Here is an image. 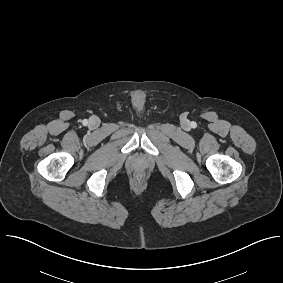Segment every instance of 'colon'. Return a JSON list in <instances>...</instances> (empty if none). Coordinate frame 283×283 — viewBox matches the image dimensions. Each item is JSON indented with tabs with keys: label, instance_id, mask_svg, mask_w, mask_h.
Listing matches in <instances>:
<instances>
[{
	"label": "colon",
	"instance_id": "colon-1",
	"mask_svg": "<svg viewBox=\"0 0 283 283\" xmlns=\"http://www.w3.org/2000/svg\"><path fill=\"white\" fill-rule=\"evenodd\" d=\"M143 178H144V175H143L142 173H137V174L135 175V180H136L137 182L142 181Z\"/></svg>",
	"mask_w": 283,
	"mask_h": 283
}]
</instances>
